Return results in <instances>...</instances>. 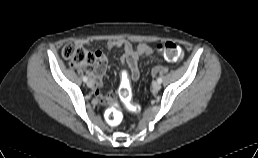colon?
I'll list each match as a JSON object with an SVG mask.
<instances>
[{
  "label": "colon",
  "mask_w": 258,
  "mask_h": 158,
  "mask_svg": "<svg viewBox=\"0 0 258 158\" xmlns=\"http://www.w3.org/2000/svg\"><path fill=\"white\" fill-rule=\"evenodd\" d=\"M158 52L170 62H179L183 57V51L179 44L173 41H165L156 45ZM62 55L67 59L71 65H91L96 61L93 53L87 51L76 42L67 43L62 49ZM119 95L121 100L125 103L128 110L138 113L141 107L138 104L131 102V88L129 76L124 75L120 86ZM121 113L116 103H112L107 112V120L109 124L116 125L121 121Z\"/></svg>",
  "instance_id": "obj_1"
}]
</instances>
